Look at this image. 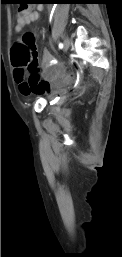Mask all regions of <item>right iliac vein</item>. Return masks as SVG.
<instances>
[{
  "mask_svg": "<svg viewBox=\"0 0 122 257\" xmlns=\"http://www.w3.org/2000/svg\"><path fill=\"white\" fill-rule=\"evenodd\" d=\"M69 47H70V40L69 38L66 37L64 39V51L66 52L69 49Z\"/></svg>",
  "mask_w": 122,
  "mask_h": 257,
  "instance_id": "right-iliac-vein-1",
  "label": "right iliac vein"
}]
</instances>
